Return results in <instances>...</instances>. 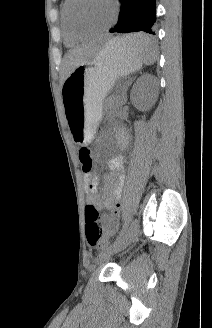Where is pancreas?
Here are the masks:
<instances>
[{
    "instance_id": "obj_1",
    "label": "pancreas",
    "mask_w": 212,
    "mask_h": 328,
    "mask_svg": "<svg viewBox=\"0 0 212 328\" xmlns=\"http://www.w3.org/2000/svg\"><path fill=\"white\" fill-rule=\"evenodd\" d=\"M120 100L121 98L119 96H111L106 100L105 106L111 112H116L121 107L122 102Z\"/></svg>"
}]
</instances>
